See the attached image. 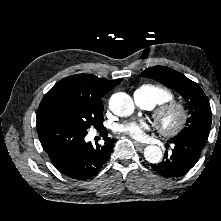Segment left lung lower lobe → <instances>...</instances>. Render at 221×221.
I'll list each match as a JSON object with an SVG mask.
<instances>
[{
	"mask_svg": "<svg viewBox=\"0 0 221 221\" xmlns=\"http://www.w3.org/2000/svg\"><path fill=\"white\" fill-rule=\"evenodd\" d=\"M209 136V131H196L171 139L172 153H165L164 160L152 168L163 177L185 175L198 161Z\"/></svg>",
	"mask_w": 221,
	"mask_h": 221,
	"instance_id": "left-lung-lower-lobe-1",
	"label": "left lung lower lobe"
}]
</instances>
